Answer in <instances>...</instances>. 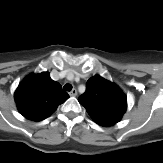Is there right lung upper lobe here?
I'll return each mask as SVG.
<instances>
[{
    "instance_id": "right-lung-upper-lobe-1",
    "label": "right lung upper lobe",
    "mask_w": 163,
    "mask_h": 163,
    "mask_svg": "<svg viewBox=\"0 0 163 163\" xmlns=\"http://www.w3.org/2000/svg\"><path fill=\"white\" fill-rule=\"evenodd\" d=\"M69 98L48 72L31 74L22 80L14 99L19 112L27 119L41 121L55 112Z\"/></svg>"
}]
</instances>
